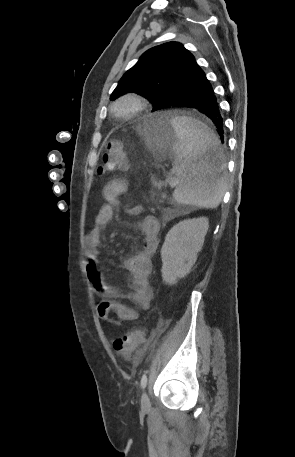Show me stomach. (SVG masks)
<instances>
[{"instance_id": "stomach-1", "label": "stomach", "mask_w": 295, "mask_h": 457, "mask_svg": "<svg viewBox=\"0 0 295 457\" xmlns=\"http://www.w3.org/2000/svg\"><path fill=\"white\" fill-rule=\"evenodd\" d=\"M140 132L148 146L154 149L163 145L171 149L178 143L171 119L163 115L147 116L140 126Z\"/></svg>"}]
</instances>
